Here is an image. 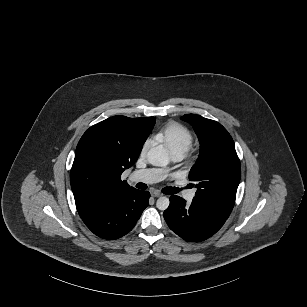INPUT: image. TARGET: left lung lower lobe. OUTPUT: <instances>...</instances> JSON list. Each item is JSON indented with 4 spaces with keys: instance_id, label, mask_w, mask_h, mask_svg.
Wrapping results in <instances>:
<instances>
[{
    "instance_id": "obj_1",
    "label": "left lung lower lobe",
    "mask_w": 307,
    "mask_h": 307,
    "mask_svg": "<svg viewBox=\"0 0 307 307\" xmlns=\"http://www.w3.org/2000/svg\"><path fill=\"white\" fill-rule=\"evenodd\" d=\"M164 218L172 231L188 241H202L215 234L226 217L216 214L194 202L190 206L179 196L170 197Z\"/></svg>"
}]
</instances>
